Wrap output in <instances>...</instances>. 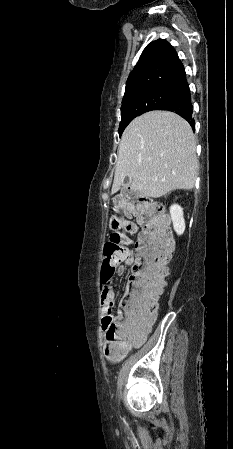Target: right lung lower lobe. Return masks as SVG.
Returning a JSON list of instances; mask_svg holds the SVG:
<instances>
[{"label": "right lung lower lobe", "instance_id": "right-lung-lower-lobe-1", "mask_svg": "<svg viewBox=\"0 0 233 449\" xmlns=\"http://www.w3.org/2000/svg\"><path fill=\"white\" fill-rule=\"evenodd\" d=\"M181 90L183 92L182 98L165 104L159 110H168L177 113L178 115L186 119L191 125V127L194 129L195 121L192 118L193 106L191 103L190 90L188 84Z\"/></svg>", "mask_w": 233, "mask_h": 449}]
</instances>
